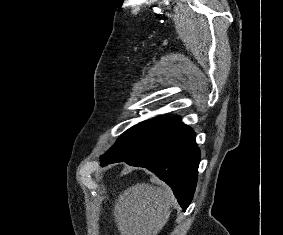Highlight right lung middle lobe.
I'll use <instances>...</instances> for the list:
<instances>
[{"mask_svg": "<svg viewBox=\"0 0 283 235\" xmlns=\"http://www.w3.org/2000/svg\"><path fill=\"white\" fill-rule=\"evenodd\" d=\"M180 121L179 117H174L166 120H149L133 126L118 138L105 156H102V163L121 162L146 151L166 137Z\"/></svg>", "mask_w": 283, "mask_h": 235, "instance_id": "1", "label": "right lung middle lobe"}]
</instances>
